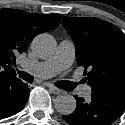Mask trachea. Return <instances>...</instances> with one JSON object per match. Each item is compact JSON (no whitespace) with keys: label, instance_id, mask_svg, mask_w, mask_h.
<instances>
[{"label":"trachea","instance_id":"trachea-1","mask_svg":"<svg viewBox=\"0 0 125 125\" xmlns=\"http://www.w3.org/2000/svg\"><path fill=\"white\" fill-rule=\"evenodd\" d=\"M19 77L29 83L33 82V77L27 72H19ZM77 84L78 83H74L70 81H60L56 83V86L67 91H72Z\"/></svg>","mask_w":125,"mask_h":125}]
</instances>
